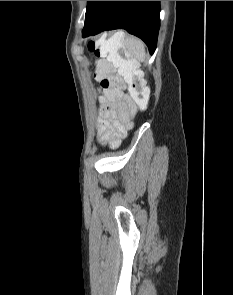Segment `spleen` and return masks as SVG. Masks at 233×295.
I'll list each match as a JSON object with an SVG mask.
<instances>
[{
    "label": "spleen",
    "instance_id": "spleen-1",
    "mask_svg": "<svg viewBox=\"0 0 233 295\" xmlns=\"http://www.w3.org/2000/svg\"><path fill=\"white\" fill-rule=\"evenodd\" d=\"M121 48L127 50L138 61H144L146 57L144 43L135 37L125 38L123 32H117L107 41L101 42V55L107 57L108 61L121 69L125 64V61L118 54V50Z\"/></svg>",
    "mask_w": 233,
    "mask_h": 295
}]
</instances>
